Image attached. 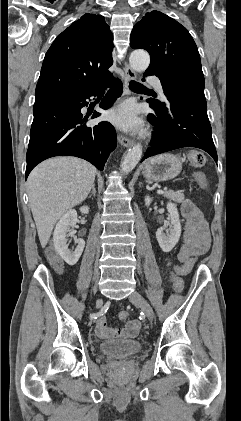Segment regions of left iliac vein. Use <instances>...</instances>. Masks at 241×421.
<instances>
[{"label":"left iliac vein","instance_id":"left-iliac-vein-1","mask_svg":"<svg viewBox=\"0 0 241 421\" xmlns=\"http://www.w3.org/2000/svg\"><path fill=\"white\" fill-rule=\"evenodd\" d=\"M129 300L131 303L137 305L145 313L149 321L154 319V313L150 304L145 300V298L137 291H134L130 296Z\"/></svg>","mask_w":241,"mask_h":421}]
</instances>
